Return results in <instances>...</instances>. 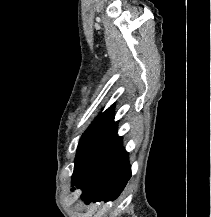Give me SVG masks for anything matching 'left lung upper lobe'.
I'll list each match as a JSON object with an SVG mask.
<instances>
[{"label":"left lung upper lobe","mask_w":211,"mask_h":217,"mask_svg":"<svg viewBox=\"0 0 211 217\" xmlns=\"http://www.w3.org/2000/svg\"><path fill=\"white\" fill-rule=\"evenodd\" d=\"M117 124L114 122V106L101 113L82 135L75 158V167L72 181L86 168L98 151L117 133Z\"/></svg>","instance_id":"obj_1"}]
</instances>
